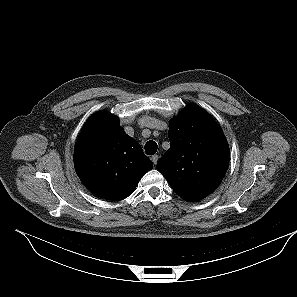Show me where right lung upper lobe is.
Masks as SVG:
<instances>
[{"label":"right lung upper lobe","mask_w":297,"mask_h":297,"mask_svg":"<svg viewBox=\"0 0 297 297\" xmlns=\"http://www.w3.org/2000/svg\"><path fill=\"white\" fill-rule=\"evenodd\" d=\"M73 159L85 187L94 195L113 201L131 195L141 177L153 167L118 119L104 112L95 113L84 124Z\"/></svg>","instance_id":"obj_1"}]
</instances>
